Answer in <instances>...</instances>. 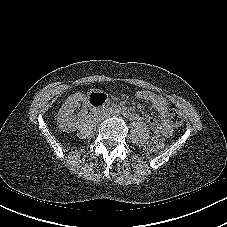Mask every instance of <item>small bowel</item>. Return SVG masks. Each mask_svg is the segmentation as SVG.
<instances>
[{
  "mask_svg": "<svg viewBox=\"0 0 227 227\" xmlns=\"http://www.w3.org/2000/svg\"><path fill=\"white\" fill-rule=\"evenodd\" d=\"M135 96L138 99L149 102L158 113V119L147 116L146 121L154 133H161L166 137L172 134L170 123V110L168 101L161 95H157L150 91H138Z\"/></svg>",
  "mask_w": 227,
  "mask_h": 227,
  "instance_id": "1",
  "label": "small bowel"
}]
</instances>
